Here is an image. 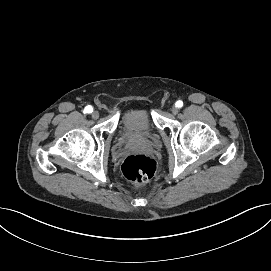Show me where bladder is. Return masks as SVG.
<instances>
[{
    "label": "bladder",
    "mask_w": 271,
    "mask_h": 271,
    "mask_svg": "<svg viewBox=\"0 0 271 271\" xmlns=\"http://www.w3.org/2000/svg\"><path fill=\"white\" fill-rule=\"evenodd\" d=\"M124 120L130 129H124L122 133L123 140L141 142L149 140L152 131L148 124L145 110L130 109L125 113Z\"/></svg>",
    "instance_id": "bladder-1"
}]
</instances>
